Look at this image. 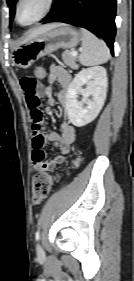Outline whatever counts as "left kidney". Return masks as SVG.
<instances>
[{"mask_svg": "<svg viewBox=\"0 0 134 281\" xmlns=\"http://www.w3.org/2000/svg\"><path fill=\"white\" fill-rule=\"evenodd\" d=\"M83 85L87 87L83 89ZM107 86L106 69L102 66L82 69L75 75L65 101V110L74 126L83 127L98 116L106 99ZM78 94L83 96L82 102L77 100Z\"/></svg>", "mask_w": 134, "mask_h": 281, "instance_id": "1", "label": "left kidney"}]
</instances>
